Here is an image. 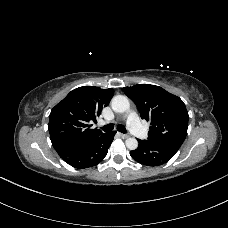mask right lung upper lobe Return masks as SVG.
Listing matches in <instances>:
<instances>
[{"label": "right lung upper lobe", "mask_w": 228, "mask_h": 228, "mask_svg": "<svg viewBox=\"0 0 228 228\" xmlns=\"http://www.w3.org/2000/svg\"><path fill=\"white\" fill-rule=\"evenodd\" d=\"M114 90L83 86L72 90L51 111L48 129L55 149L89 141L103 133L91 129L90 121H96L101 110L113 97Z\"/></svg>", "instance_id": "obj_1"}]
</instances>
